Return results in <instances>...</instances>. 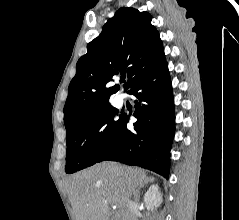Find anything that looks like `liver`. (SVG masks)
<instances>
[{"label":"liver","instance_id":"obj_1","mask_svg":"<svg viewBox=\"0 0 239 220\" xmlns=\"http://www.w3.org/2000/svg\"><path fill=\"white\" fill-rule=\"evenodd\" d=\"M143 170L102 162L73 175L66 184L76 220H110L109 204L127 214L131 198L146 179Z\"/></svg>","mask_w":239,"mask_h":220}]
</instances>
